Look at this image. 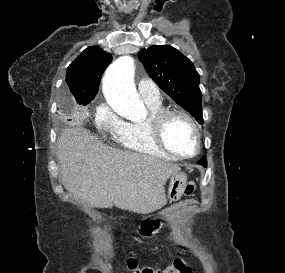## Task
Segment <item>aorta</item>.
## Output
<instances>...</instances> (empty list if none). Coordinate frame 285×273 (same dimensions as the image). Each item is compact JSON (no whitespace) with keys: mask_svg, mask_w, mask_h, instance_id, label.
<instances>
[{"mask_svg":"<svg viewBox=\"0 0 285 273\" xmlns=\"http://www.w3.org/2000/svg\"><path fill=\"white\" fill-rule=\"evenodd\" d=\"M135 64L125 55L114 61L103 77V93L110 107L129 119L143 118L147 110L134 85Z\"/></svg>","mask_w":285,"mask_h":273,"instance_id":"1","label":"aorta"}]
</instances>
